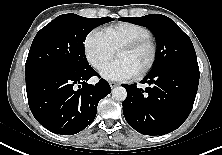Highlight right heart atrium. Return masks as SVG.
I'll return each instance as SVG.
<instances>
[{
	"instance_id": "d8ad5b80",
	"label": "right heart atrium",
	"mask_w": 222,
	"mask_h": 155,
	"mask_svg": "<svg viewBox=\"0 0 222 155\" xmlns=\"http://www.w3.org/2000/svg\"><path fill=\"white\" fill-rule=\"evenodd\" d=\"M84 52L87 61L96 70H101L114 55V50L98 30H93L86 36Z\"/></svg>"
}]
</instances>
